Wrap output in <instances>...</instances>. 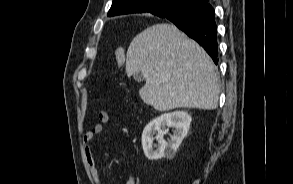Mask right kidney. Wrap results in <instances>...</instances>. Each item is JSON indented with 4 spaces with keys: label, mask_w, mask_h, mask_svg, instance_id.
Returning a JSON list of instances; mask_svg holds the SVG:
<instances>
[{
    "label": "right kidney",
    "mask_w": 293,
    "mask_h": 184,
    "mask_svg": "<svg viewBox=\"0 0 293 184\" xmlns=\"http://www.w3.org/2000/svg\"><path fill=\"white\" fill-rule=\"evenodd\" d=\"M191 120V116L185 111L165 113L152 120L142 133L145 156L149 160L172 159L189 131ZM169 128H173L174 131L170 141L166 142L163 137ZM155 134L158 145L153 144Z\"/></svg>",
    "instance_id": "ca27d5eb"
}]
</instances>
